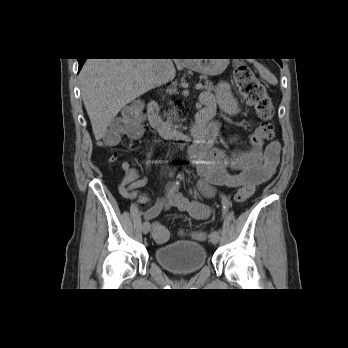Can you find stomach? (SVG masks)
<instances>
[{"label":"stomach","instance_id":"stomach-1","mask_svg":"<svg viewBox=\"0 0 348 348\" xmlns=\"http://www.w3.org/2000/svg\"><path fill=\"white\" fill-rule=\"evenodd\" d=\"M228 65L227 59H194L188 67L204 76H216Z\"/></svg>","mask_w":348,"mask_h":348}]
</instances>
